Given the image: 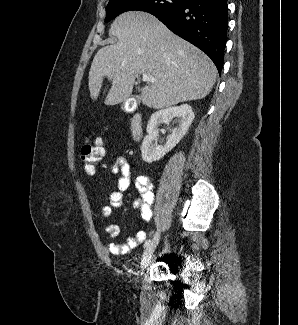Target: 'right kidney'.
Masks as SVG:
<instances>
[{"mask_svg":"<svg viewBox=\"0 0 298 325\" xmlns=\"http://www.w3.org/2000/svg\"><path fill=\"white\" fill-rule=\"evenodd\" d=\"M174 116H178V126L173 128L170 136L166 140L164 146H159L158 142H154L157 136H159L160 124L163 122H170ZM194 112L190 104H180V106H171V108H161V110H156L151 114L146 130L148 134L144 136L143 142L141 144L142 158L145 160V163H153V160H160L163 158L166 152L172 150L182 136L186 134L189 126L194 120Z\"/></svg>","mask_w":298,"mask_h":325,"instance_id":"1","label":"right kidney"}]
</instances>
